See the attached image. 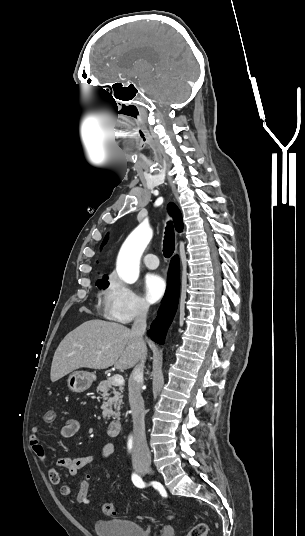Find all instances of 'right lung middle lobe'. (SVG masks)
Listing matches in <instances>:
<instances>
[{
    "label": "right lung middle lobe",
    "mask_w": 305,
    "mask_h": 536,
    "mask_svg": "<svg viewBox=\"0 0 305 536\" xmlns=\"http://www.w3.org/2000/svg\"><path fill=\"white\" fill-rule=\"evenodd\" d=\"M96 285H97L99 288H103V289H105V288L109 285V283H108V281H107V278H103L102 280H98V281L96 282Z\"/></svg>",
    "instance_id": "1"
}]
</instances>
